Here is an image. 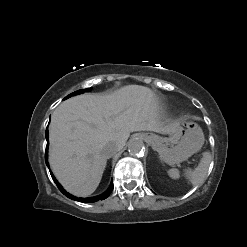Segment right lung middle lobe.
Wrapping results in <instances>:
<instances>
[{"label":"right lung middle lobe","mask_w":247,"mask_h":247,"mask_svg":"<svg viewBox=\"0 0 247 247\" xmlns=\"http://www.w3.org/2000/svg\"><path fill=\"white\" fill-rule=\"evenodd\" d=\"M91 88H87V89H84V90H78V91H76V92H74V93H71V94H69L66 98H69V97H71V96H73V95H77V94H81V93H83V92H85V91H89ZM65 98V99H66Z\"/></svg>","instance_id":"dd1d6c3e"}]
</instances>
